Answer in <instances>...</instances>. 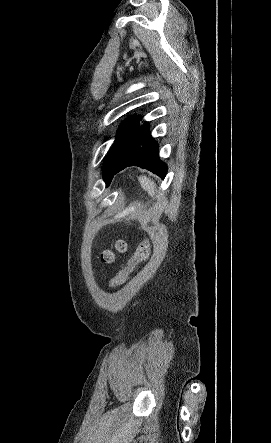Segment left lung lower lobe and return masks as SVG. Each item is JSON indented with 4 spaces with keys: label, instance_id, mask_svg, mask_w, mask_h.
<instances>
[{
    "label": "left lung lower lobe",
    "instance_id": "0a47b994",
    "mask_svg": "<svg viewBox=\"0 0 271 443\" xmlns=\"http://www.w3.org/2000/svg\"><path fill=\"white\" fill-rule=\"evenodd\" d=\"M139 120L134 119L124 133L110 171V181L116 173L128 166L147 169L162 179L167 173V166L159 159L158 144L151 137L148 124L140 126Z\"/></svg>",
    "mask_w": 271,
    "mask_h": 443
}]
</instances>
